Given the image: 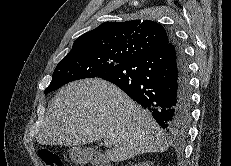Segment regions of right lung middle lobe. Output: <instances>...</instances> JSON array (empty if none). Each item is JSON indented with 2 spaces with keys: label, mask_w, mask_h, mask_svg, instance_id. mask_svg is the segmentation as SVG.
<instances>
[{
  "label": "right lung middle lobe",
  "mask_w": 231,
  "mask_h": 166,
  "mask_svg": "<svg viewBox=\"0 0 231 166\" xmlns=\"http://www.w3.org/2000/svg\"><path fill=\"white\" fill-rule=\"evenodd\" d=\"M124 62L126 59L122 57L109 56L90 49L68 53L57 65L52 81L44 93L48 94L75 80L98 77Z\"/></svg>",
  "instance_id": "right-lung-middle-lobe-1"
}]
</instances>
